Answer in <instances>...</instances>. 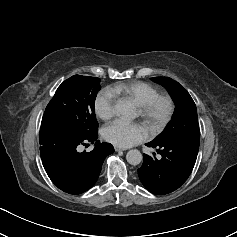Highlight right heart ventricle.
Returning <instances> with one entry per match:
<instances>
[{
	"label": "right heart ventricle",
	"mask_w": 237,
	"mask_h": 237,
	"mask_svg": "<svg viewBox=\"0 0 237 237\" xmlns=\"http://www.w3.org/2000/svg\"><path fill=\"white\" fill-rule=\"evenodd\" d=\"M109 89L115 95H121L124 98L130 99L138 106L159 95V91L156 87L137 80L117 83Z\"/></svg>",
	"instance_id": "e07e8e85"
}]
</instances>
